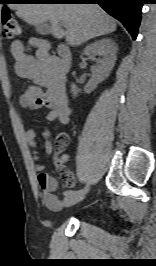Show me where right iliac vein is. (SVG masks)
I'll use <instances>...</instances> for the list:
<instances>
[{
    "instance_id": "63e3f726",
    "label": "right iliac vein",
    "mask_w": 156,
    "mask_h": 266,
    "mask_svg": "<svg viewBox=\"0 0 156 266\" xmlns=\"http://www.w3.org/2000/svg\"><path fill=\"white\" fill-rule=\"evenodd\" d=\"M87 191H88V189H87ZM87 191L84 192V193L81 194V195L65 197V199H64V201H63V206H64V207H70V206H73V205H75L76 203L80 202V201L83 200V198L85 197Z\"/></svg>"
}]
</instances>
